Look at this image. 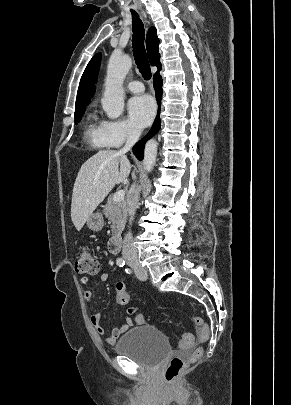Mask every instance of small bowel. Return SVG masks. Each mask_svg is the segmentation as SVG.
<instances>
[{
    "instance_id": "1",
    "label": "small bowel",
    "mask_w": 291,
    "mask_h": 405,
    "mask_svg": "<svg viewBox=\"0 0 291 405\" xmlns=\"http://www.w3.org/2000/svg\"><path fill=\"white\" fill-rule=\"evenodd\" d=\"M109 278L108 273L102 272L99 275L100 282H106ZM80 283L82 285H87L89 283V278L83 276L80 278ZM93 293L90 290L85 291L84 298L86 302L90 303L93 301ZM131 316H134V319H131ZM102 315L101 313H94L90 317L91 325L95 331V333L99 336H103L105 334V330L101 325ZM144 323V317L141 313H137L135 308H128L126 310V322L119 326L113 328L111 333L105 337V341L108 344H114L132 325H142Z\"/></svg>"
}]
</instances>
